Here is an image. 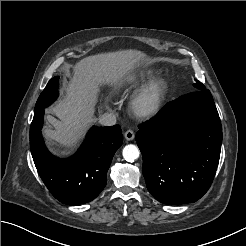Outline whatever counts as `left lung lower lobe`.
I'll use <instances>...</instances> for the list:
<instances>
[{
	"label": "left lung lower lobe",
	"instance_id": "0a47b994",
	"mask_svg": "<svg viewBox=\"0 0 246 246\" xmlns=\"http://www.w3.org/2000/svg\"><path fill=\"white\" fill-rule=\"evenodd\" d=\"M147 189L161 203L177 205L200 199L210 188L219 163L222 126L208 89L168 103L139 126Z\"/></svg>",
	"mask_w": 246,
	"mask_h": 246
}]
</instances>
